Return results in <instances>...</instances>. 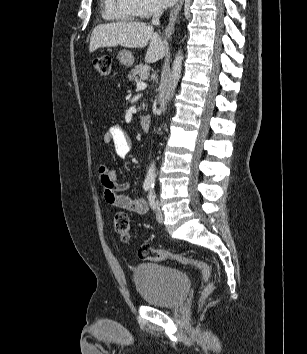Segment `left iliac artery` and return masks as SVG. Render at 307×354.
Segmentation results:
<instances>
[{"label":"left iliac artery","mask_w":307,"mask_h":354,"mask_svg":"<svg viewBox=\"0 0 307 354\" xmlns=\"http://www.w3.org/2000/svg\"><path fill=\"white\" fill-rule=\"evenodd\" d=\"M148 200H149V204H150L151 208L154 209L155 208V195L152 190H150V192L148 194Z\"/></svg>","instance_id":"1"}]
</instances>
